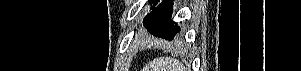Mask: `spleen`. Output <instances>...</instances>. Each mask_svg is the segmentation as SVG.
Listing matches in <instances>:
<instances>
[{
	"mask_svg": "<svg viewBox=\"0 0 301 71\" xmlns=\"http://www.w3.org/2000/svg\"><path fill=\"white\" fill-rule=\"evenodd\" d=\"M143 71H185L184 65L171 57L156 58Z\"/></svg>",
	"mask_w": 301,
	"mask_h": 71,
	"instance_id": "3e777b00",
	"label": "spleen"
}]
</instances>
